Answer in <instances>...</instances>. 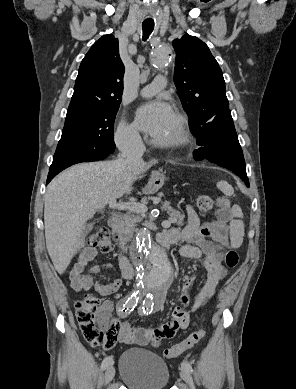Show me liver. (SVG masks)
Listing matches in <instances>:
<instances>
[{
  "label": "liver",
  "instance_id": "1",
  "mask_svg": "<svg viewBox=\"0 0 296 389\" xmlns=\"http://www.w3.org/2000/svg\"><path fill=\"white\" fill-rule=\"evenodd\" d=\"M149 167L143 159L131 164L121 159L82 163L49 184L44 205L45 238L59 274L65 272L76 253L87 221L110 200L130 194L137 177Z\"/></svg>",
  "mask_w": 296,
  "mask_h": 389
}]
</instances>
